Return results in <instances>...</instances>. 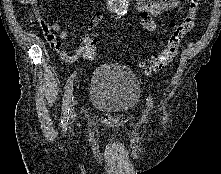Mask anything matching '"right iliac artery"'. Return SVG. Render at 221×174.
Listing matches in <instances>:
<instances>
[{
	"mask_svg": "<svg viewBox=\"0 0 221 174\" xmlns=\"http://www.w3.org/2000/svg\"><path fill=\"white\" fill-rule=\"evenodd\" d=\"M75 74H72L67 80L64 97H63V105H62V115H61V124L65 126L69 121V110L71 106L72 100V92H73V79Z\"/></svg>",
	"mask_w": 221,
	"mask_h": 174,
	"instance_id": "right-iliac-artery-1",
	"label": "right iliac artery"
}]
</instances>
